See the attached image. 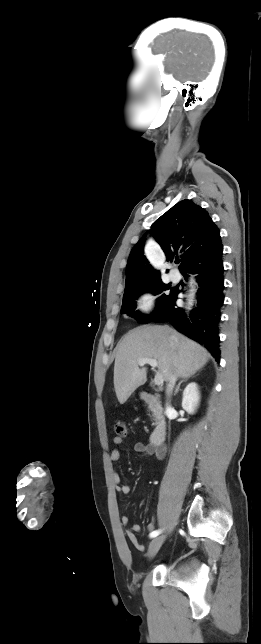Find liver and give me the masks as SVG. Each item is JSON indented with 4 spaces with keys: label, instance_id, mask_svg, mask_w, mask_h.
Here are the masks:
<instances>
[{
    "label": "liver",
    "instance_id": "6515ba94",
    "mask_svg": "<svg viewBox=\"0 0 261 644\" xmlns=\"http://www.w3.org/2000/svg\"><path fill=\"white\" fill-rule=\"evenodd\" d=\"M198 343L168 326L146 325L131 330L118 344L114 364V388L120 404L146 382L147 369L138 360L153 358L165 382L172 376L195 374L209 360Z\"/></svg>",
    "mask_w": 261,
    "mask_h": 644
}]
</instances>
